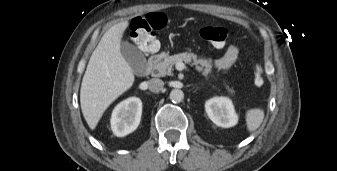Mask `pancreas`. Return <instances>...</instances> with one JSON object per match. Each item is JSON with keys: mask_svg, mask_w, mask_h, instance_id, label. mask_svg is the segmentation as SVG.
I'll return each mask as SVG.
<instances>
[{"mask_svg": "<svg viewBox=\"0 0 337 171\" xmlns=\"http://www.w3.org/2000/svg\"><path fill=\"white\" fill-rule=\"evenodd\" d=\"M178 62L191 63L196 67L198 72H202L204 77H208L211 72L210 61L204 58H199L194 53H179L172 56L164 55L160 56L154 64L153 70L156 76H165L172 74V67ZM229 93H233V89L226 86Z\"/></svg>", "mask_w": 337, "mask_h": 171, "instance_id": "pancreas-1", "label": "pancreas"}]
</instances>
